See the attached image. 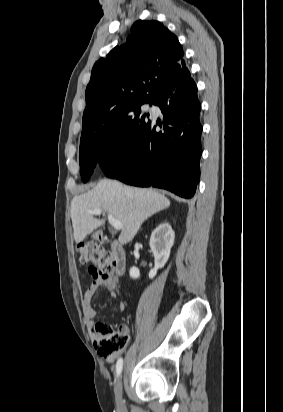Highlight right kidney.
I'll return each mask as SVG.
<instances>
[{"label":"right kidney","instance_id":"ca27d5eb","mask_svg":"<svg viewBox=\"0 0 283 412\" xmlns=\"http://www.w3.org/2000/svg\"><path fill=\"white\" fill-rule=\"evenodd\" d=\"M175 234L168 223L160 224L151 234L150 247L154 255L155 266L149 272V278L153 279L158 269L163 268L169 259L170 251L174 243ZM130 277L137 279L140 271L137 267H131Z\"/></svg>","mask_w":283,"mask_h":412}]
</instances>
